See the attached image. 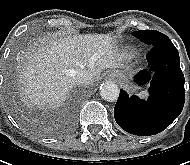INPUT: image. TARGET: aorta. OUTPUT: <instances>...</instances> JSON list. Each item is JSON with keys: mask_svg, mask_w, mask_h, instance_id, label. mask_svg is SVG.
<instances>
[{"mask_svg": "<svg viewBox=\"0 0 190 165\" xmlns=\"http://www.w3.org/2000/svg\"><path fill=\"white\" fill-rule=\"evenodd\" d=\"M100 95L106 101L114 102L119 97V88L114 82L107 81L101 85Z\"/></svg>", "mask_w": 190, "mask_h": 165, "instance_id": "762f6f07", "label": "aorta"}]
</instances>
